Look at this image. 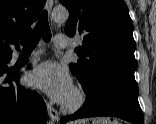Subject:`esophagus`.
Listing matches in <instances>:
<instances>
[{
	"instance_id": "1",
	"label": "esophagus",
	"mask_w": 156,
	"mask_h": 124,
	"mask_svg": "<svg viewBox=\"0 0 156 124\" xmlns=\"http://www.w3.org/2000/svg\"><path fill=\"white\" fill-rule=\"evenodd\" d=\"M52 5H53V1L52 0H47L46 1V8H47L48 13L51 12ZM46 106H47V111H48V115L50 116V118L53 121H58L59 120V114H58V112L48 102L46 103Z\"/></svg>"
}]
</instances>
